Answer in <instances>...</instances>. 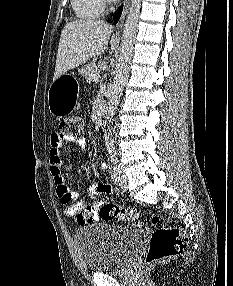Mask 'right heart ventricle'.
<instances>
[{
	"instance_id": "right-heart-ventricle-1",
	"label": "right heart ventricle",
	"mask_w": 233,
	"mask_h": 286,
	"mask_svg": "<svg viewBox=\"0 0 233 286\" xmlns=\"http://www.w3.org/2000/svg\"><path fill=\"white\" fill-rule=\"evenodd\" d=\"M76 16L82 20H91L99 17L103 12L102 0H71Z\"/></svg>"
}]
</instances>
